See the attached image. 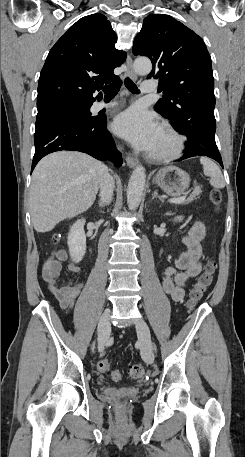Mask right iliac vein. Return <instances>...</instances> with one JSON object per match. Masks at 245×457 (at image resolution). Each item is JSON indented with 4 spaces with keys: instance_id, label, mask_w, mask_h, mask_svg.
Masks as SVG:
<instances>
[{
    "instance_id": "63e3f726",
    "label": "right iliac vein",
    "mask_w": 245,
    "mask_h": 457,
    "mask_svg": "<svg viewBox=\"0 0 245 457\" xmlns=\"http://www.w3.org/2000/svg\"><path fill=\"white\" fill-rule=\"evenodd\" d=\"M110 309H106L98 322V348L103 351L110 335Z\"/></svg>"
}]
</instances>
